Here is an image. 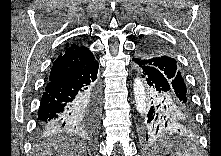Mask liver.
<instances>
[{"label":"liver","instance_id":"6515ba94","mask_svg":"<svg viewBox=\"0 0 221 156\" xmlns=\"http://www.w3.org/2000/svg\"><path fill=\"white\" fill-rule=\"evenodd\" d=\"M34 156H86L87 146L72 137L54 136L33 148Z\"/></svg>","mask_w":221,"mask_h":156}]
</instances>
